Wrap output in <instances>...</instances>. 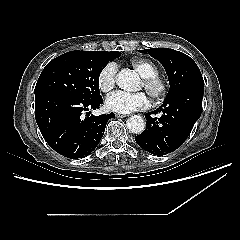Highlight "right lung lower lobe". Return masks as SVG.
<instances>
[{"instance_id": "obj_1", "label": "right lung lower lobe", "mask_w": 240, "mask_h": 240, "mask_svg": "<svg viewBox=\"0 0 240 240\" xmlns=\"http://www.w3.org/2000/svg\"><path fill=\"white\" fill-rule=\"evenodd\" d=\"M102 98L85 101L63 93L35 95V119L48 145L70 158H84L98 145L106 124L114 114L90 115ZM86 117H84V113Z\"/></svg>"}]
</instances>
